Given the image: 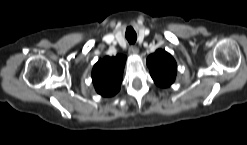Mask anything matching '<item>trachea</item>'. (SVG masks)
Returning a JSON list of instances; mask_svg holds the SVG:
<instances>
[{"label":"trachea","mask_w":247,"mask_h":145,"mask_svg":"<svg viewBox=\"0 0 247 145\" xmlns=\"http://www.w3.org/2000/svg\"><path fill=\"white\" fill-rule=\"evenodd\" d=\"M126 38L128 40V42L130 44H135L136 40H137V35L135 32H132V33H126Z\"/></svg>","instance_id":"trachea-1"}]
</instances>
